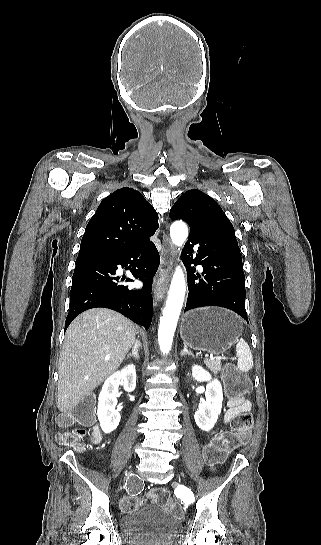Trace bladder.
<instances>
[{
  "label": "bladder",
  "instance_id": "31cf9c89",
  "mask_svg": "<svg viewBox=\"0 0 321 545\" xmlns=\"http://www.w3.org/2000/svg\"><path fill=\"white\" fill-rule=\"evenodd\" d=\"M120 527L130 545H170L182 530L180 520L156 504L126 512L120 518Z\"/></svg>",
  "mask_w": 321,
  "mask_h": 545
}]
</instances>
